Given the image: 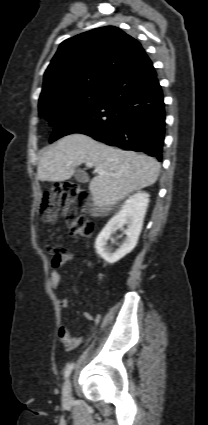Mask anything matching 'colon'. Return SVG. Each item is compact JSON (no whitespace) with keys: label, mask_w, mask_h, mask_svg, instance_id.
<instances>
[{"label":"colon","mask_w":208,"mask_h":425,"mask_svg":"<svg viewBox=\"0 0 208 425\" xmlns=\"http://www.w3.org/2000/svg\"><path fill=\"white\" fill-rule=\"evenodd\" d=\"M88 192L73 182L53 185L45 194L41 205V214L46 222H53L60 208H66V222L69 232L74 237H88L93 233V224L85 217ZM47 252L58 263L62 250L57 245L46 246Z\"/></svg>","instance_id":"5ec220e1"}]
</instances>
